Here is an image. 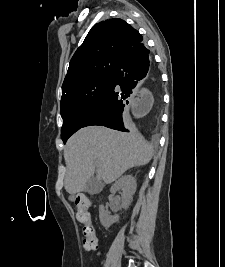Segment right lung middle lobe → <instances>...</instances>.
Wrapping results in <instances>:
<instances>
[{"mask_svg":"<svg viewBox=\"0 0 225 267\" xmlns=\"http://www.w3.org/2000/svg\"><path fill=\"white\" fill-rule=\"evenodd\" d=\"M113 74L96 77L80 83L67 91L61 97V116L63 126L61 137L65 143L100 105L105 97Z\"/></svg>","mask_w":225,"mask_h":267,"instance_id":"1","label":"right lung middle lobe"}]
</instances>
